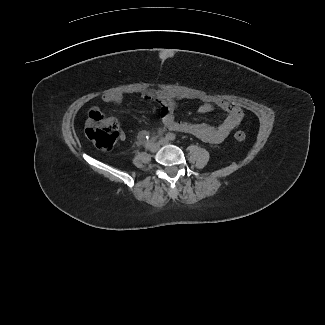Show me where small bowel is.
<instances>
[{"label":"small bowel","instance_id":"1","mask_svg":"<svg viewBox=\"0 0 325 325\" xmlns=\"http://www.w3.org/2000/svg\"><path fill=\"white\" fill-rule=\"evenodd\" d=\"M138 94L141 98L147 101H154L161 105V116L165 130L192 134L201 140L212 144L221 143L231 133V131L240 124L243 118L242 110L236 105L223 99H214L207 95L179 90L151 88L142 89L138 91ZM124 98L125 94L121 91L105 92L100 97V99L106 103H121ZM183 99L200 101L201 104L198 108L200 113H208L216 106L223 110L227 115L218 126H212L206 123L180 122L175 116L177 109L176 102ZM91 111L100 110L97 107H93L89 112ZM120 138H125L124 131L120 132Z\"/></svg>","mask_w":325,"mask_h":325}]
</instances>
